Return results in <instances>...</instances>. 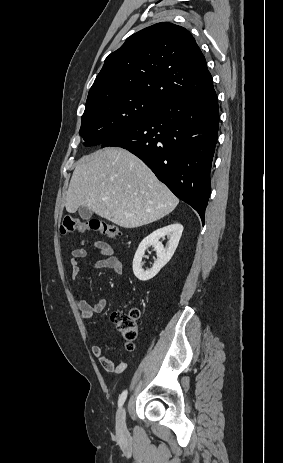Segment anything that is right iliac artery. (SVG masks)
<instances>
[{
	"mask_svg": "<svg viewBox=\"0 0 283 463\" xmlns=\"http://www.w3.org/2000/svg\"><path fill=\"white\" fill-rule=\"evenodd\" d=\"M127 397V390L123 391L122 394L119 396L118 400V407L121 408L122 405L124 404L125 400Z\"/></svg>",
	"mask_w": 283,
	"mask_h": 463,
	"instance_id": "1",
	"label": "right iliac artery"
}]
</instances>
